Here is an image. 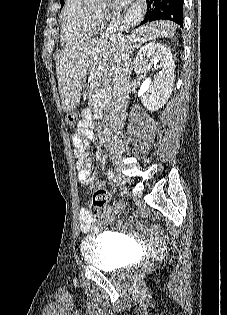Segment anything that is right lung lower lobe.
<instances>
[{"label": "right lung lower lobe", "instance_id": "1", "mask_svg": "<svg viewBox=\"0 0 227 315\" xmlns=\"http://www.w3.org/2000/svg\"><path fill=\"white\" fill-rule=\"evenodd\" d=\"M159 19L172 20L182 25L183 0H147L146 16L140 25Z\"/></svg>", "mask_w": 227, "mask_h": 315}]
</instances>
